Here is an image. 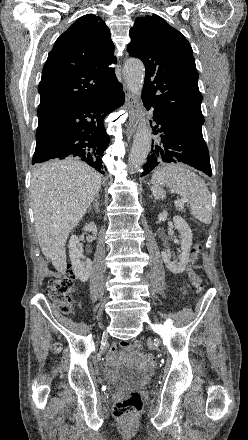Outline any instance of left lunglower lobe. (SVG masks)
I'll return each mask as SVG.
<instances>
[{"mask_svg": "<svg viewBox=\"0 0 248 440\" xmlns=\"http://www.w3.org/2000/svg\"><path fill=\"white\" fill-rule=\"evenodd\" d=\"M147 109L153 107L146 98H142ZM154 120L157 126L153 133H161L160 145L151 149L147 162L144 165L142 176L147 175L157 166L165 163L182 162L188 164L208 176L212 175L209 160V151L202 133L195 132L188 127L169 119L154 111Z\"/></svg>", "mask_w": 248, "mask_h": 440, "instance_id": "0a47b994", "label": "left lung lower lobe"}]
</instances>
